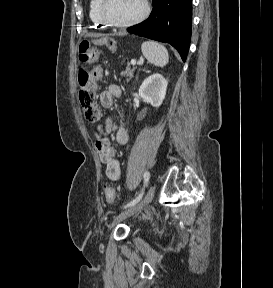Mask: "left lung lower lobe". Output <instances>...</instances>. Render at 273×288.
I'll list each match as a JSON object with an SVG mask.
<instances>
[{"label":"left lung lower lobe","instance_id":"obj_1","mask_svg":"<svg viewBox=\"0 0 273 288\" xmlns=\"http://www.w3.org/2000/svg\"><path fill=\"white\" fill-rule=\"evenodd\" d=\"M192 0H153L145 21L127 29L129 33L171 44L186 60L191 40Z\"/></svg>","mask_w":273,"mask_h":288}]
</instances>
